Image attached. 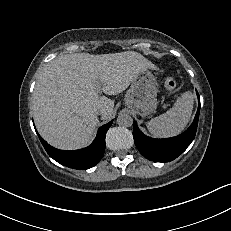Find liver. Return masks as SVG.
Listing matches in <instances>:
<instances>
[{"label": "liver", "mask_w": 231, "mask_h": 231, "mask_svg": "<svg viewBox=\"0 0 231 231\" xmlns=\"http://www.w3.org/2000/svg\"><path fill=\"white\" fill-rule=\"evenodd\" d=\"M157 70L143 55L134 51L92 55H59L40 73L33 93L32 111L40 135L52 146L75 150L88 146L102 120L112 117L117 95L142 70Z\"/></svg>", "instance_id": "1"}]
</instances>
